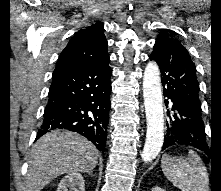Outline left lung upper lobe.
<instances>
[{"label":"left lung upper lobe","instance_id":"1","mask_svg":"<svg viewBox=\"0 0 221 191\" xmlns=\"http://www.w3.org/2000/svg\"><path fill=\"white\" fill-rule=\"evenodd\" d=\"M166 38H169V37L167 36L166 30H163L162 33L158 36L157 39H166ZM204 144L205 145L207 144L206 138L204 139Z\"/></svg>","mask_w":221,"mask_h":191}]
</instances>
